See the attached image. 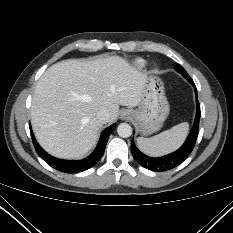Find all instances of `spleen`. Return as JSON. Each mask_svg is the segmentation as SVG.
<instances>
[{"label": "spleen", "mask_w": 233, "mask_h": 233, "mask_svg": "<svg viewBox=\"0 0 233 233\" xmlns=\"http://www.w3.org/2000/svg\"><path fill=\"white\" fill-rule=\"evenodd\" d=\"M188 131L189 124L183 122L151 138L138 137L137 146L143 153L159 157L178 149L185 141Z\"/></svg>", "instance_id": "1"}]
</instances>
